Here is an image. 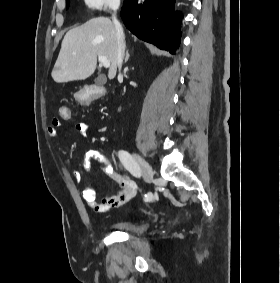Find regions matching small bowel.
<instances>
[{
    "label": "small bowel",
    "mask_w": 280,
    "mask_h": 283,
    "mask_svg": "<svg viewBox=\"0 0 280 283\" xmlns=\"http://www.w3.org/2000/svg\"><path fill=\"white\" fill-rule=\"evenodd\" d=\"M68 120V119H66ZM61 125L60 120L54 119L47 129L50 137L54 138L58 135V130ZM76 131L81 136H86L88 125L85 122H79L75 126ZM96 159L103 164V172L111 178L118 186L119 190L104 197L101 201L97 200L96 191L92 186H86L82 190L83 200L94 210L99 213H106L114 208L120 207L129 202L137 194V184L128 176L119 173L109 162L107 155L101 150H91L86 154L85 170L91 169L89 160ZM72 176L75 181L82 180V172L74 170Z\"/></svg>",
    "instance_id": "c3829d8e"
}]
</instances>
